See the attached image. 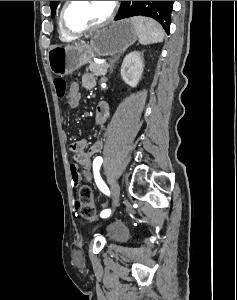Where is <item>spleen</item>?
<instances>
[{"label": "spleen", "mask_w": 237, "mask_h": 300, "mask_svg": "<svg viewBox=\"0 0 237 300\" xmlns=\"http://www.w3.org/2000/svg\"><path fill=\"white\" fill-rule=\"evenodd\" d=\"M140 45H151V43H162L164 33L157 21L148 17H131L130 19Z\"/></svg>", "instance_id": "obj_1"}]
</instances>
